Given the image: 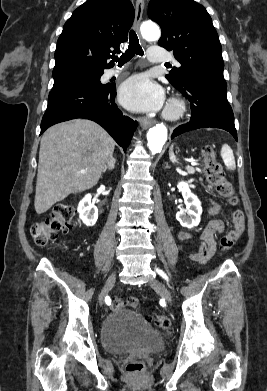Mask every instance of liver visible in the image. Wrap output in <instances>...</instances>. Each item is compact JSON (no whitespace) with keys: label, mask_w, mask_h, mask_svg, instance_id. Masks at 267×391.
<instances>
[{"label":"liver","mask_w":267,"mask_h":391,"mask_svg":"<svg viewBox=\"0 0 267 391\" xmlns=\"http://www.w3.org/2000/svg\"><path fill=\"white\" fill-rule=\"evenodd\" d=\"M114 147L111 136L90 120L75 119L49 128L40 143L36 213L48 211L70 193L94 187Z\"/></svg>","instance_id":"1"}]
</instances>
